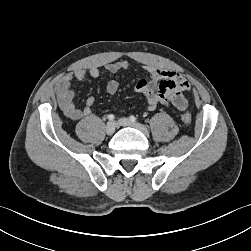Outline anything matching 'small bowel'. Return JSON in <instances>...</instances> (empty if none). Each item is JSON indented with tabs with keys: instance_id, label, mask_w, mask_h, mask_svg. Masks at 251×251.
<instances>
[{
	"instance_id": "1",
	"label": "small bowel",
	"mask_w": 251,
	"mask_h": 251,
	"mask_svg": "<svg viewBox=\"0 0 251 251\" xmlns=\"http://www.w3.org/2000/svg\"><path fill=\"white\" fill-rule=\"evenodd\" d=\"M129 64L126 61H115L106 65L110 73L128 70ZM147 77L141 79L136 85V91L146 98L147 107L150 111L155 110L158 105L173 106L179 111H185L188 103L183 93L190 90V83L181 74L157 68L144 66ZM98 67H91L89 70L78 69L73 73L66 74L56 84L58 104L63 114L71 120H79L92 113L95 103L94 97H88L83 108L76 107L74 103L75 93L72 89V81H83L87 76L98 78L100 76ZM119 89L117 80H109L106 84L107 93L113 95Z\"/></svg>"
}]
</instances>
